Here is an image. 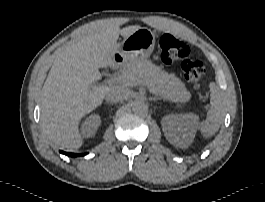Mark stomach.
I'll return each instance as SVG.
<instances>
[{
  "mask_svg": "<svg viewBox=\"0 0 265 202\" xmlns=\"http://www.w3.org/2000/svg\"><path fill=\"white\" fill-rule=\"evenodd\" d=\"M156 35L147 28H140L125 37L119 44L117 53L125 60L144 61L154 51Z\"/></svg>",
  "mask_w": 265,
  "mask_h": 202,
  "instance_id": "1",
  "label": "stomach"
}]
</instances>
